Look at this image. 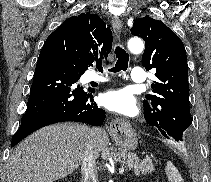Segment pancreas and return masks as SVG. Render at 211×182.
<instances>
[{"label":"pancreas","mask_w":211,"mask_h":182,"mask_svg":"<svg viewBox=\"0 0 211 182\" xmlns=\"http://www.w3.org/2000/svg\"><path fill=\"white\" fill-rule=\"evenodd\" d=\"M108 157H111L115 162L125 164L129 169L133 168L136 176L149 174L154 171L152 163L140 161L136 154L127 152L124 149H119L118 151L114 148L107 149L104 158L108 159Z\"/></svg>","instance_id":"obj_1"}]
</instances>
